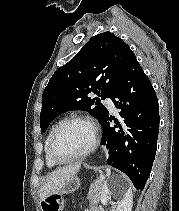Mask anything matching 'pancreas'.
Wrapping results in <instances>:
<instances>
[{"label":"pancreas","instance_id":"obj_1","mask_svg":"<svg viewBox=\"0 0 179 211\" xmlns=\"http://www.w3.org/2000/svg\"><path fill=\"white\" fill-rule=\"evenodd\" d=\"M103 182L98 179L93 182L89 188L88 192V200L91 205L97 204L99 202L101 191H102Z\"/></svg>","mask_w":179,"mask_h":211}]
</instances>
